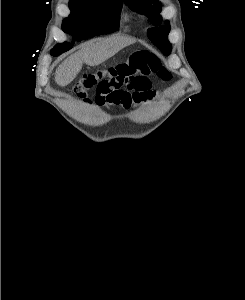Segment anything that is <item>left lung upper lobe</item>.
<instances>
[{
    "label": "left lung upper lobe",
    "mask_w": 245,
    "mask_h": 300,
    "mask_svg": "<svg viewBox=\"0 0 245 300\" xmlns=\"http://www.w3.org/2000/svg\"><path fill=\"white\" fill-rule=\"evenodd\" d=\"M124 2L133 11L146 14L149 20L155 26H158L148 29V37L165 55L170 54L172 48L168 41L170 24L167 20L165 25H161L162 17L159 14L161 11V3L158 0H124Z\"/></svg>",
    "instance_id": "1"
}]
</instances>
